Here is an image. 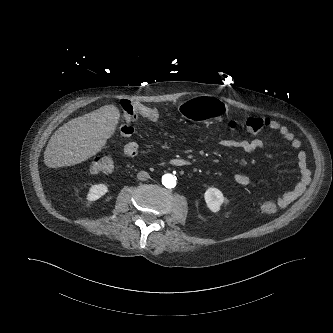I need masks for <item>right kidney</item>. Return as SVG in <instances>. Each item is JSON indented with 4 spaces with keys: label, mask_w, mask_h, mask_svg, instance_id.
<instances>
[{
    "label": "right kidney",
    "mask_w": 333,
    "mask_h": 333,
    "mask_svg": "<svg viewBox=\"0 0 333 333\" xmlns=\"http://www.w3.org/2000/svg\"><path fill=\"white\" fill-rule=\"evenodd\" d=\"M108 192V186L105 184H94L90 187L87 199L89 201H95L101 198Z\"/></svg>",
    "instance_id": "1"
}]
</instances>
